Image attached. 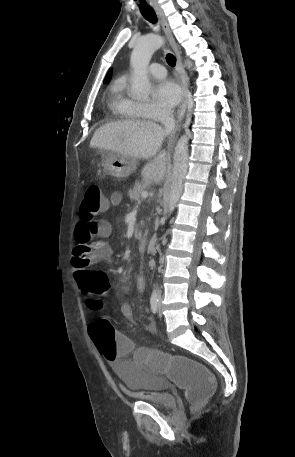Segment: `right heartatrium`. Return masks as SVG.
<instances>
[{
  "label": "right heart atrium",
  "instance_id": "d8ad5b80",
  "mask_svg": "<svg viewBox=\"0 0 295 457\" xmlns=\"http://www.w3.org/2000/svg\"><path fill=\"white\" fill-rule=\"evenodd\" d=\"M141 117L160 120L170 115V110L155 103H138Z\"/></svg>",
  "mask_w": 295,
  "mask_h": 457
}]
</instances>
